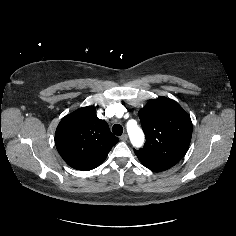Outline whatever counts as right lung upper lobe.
<instances>
[{
  "mask_svg": "<svg viewBox=\"0 0 236 236\" xmlns=\"http://www.w3.org/2000/svg\"><path fill=\"white\" fill-rule=\"evenodd\" d=\"M96 108L87 106L65 116L55 132L57 151L72 168L89 171L106 159L119 141L106 121L98 119Z\"/></svg>",
  "mask_w": 236,
  "mask_h": 236,
  "instance_id": "1",
  "label": "right lung upper lobe"
}]
</instances>
